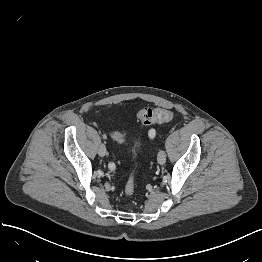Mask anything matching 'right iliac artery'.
<instances>
[{
    "label": "right iliac artery",
    "mask_w": 262,
    "mask_h": 262,
    "mask_svg": "<svg viewBox=\"0 0 262 262\" xmlns=\"http://www.w3.org/2000/svg\"><path fill=\"white\" fill-rule=\"evenodd\" d=\"M108 167H115V164L114 163H110V164H108Z\"/></svg>",
    "instance_id": "right-iliac-artery-1"
}]
</instances>
